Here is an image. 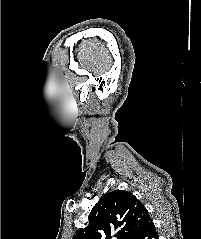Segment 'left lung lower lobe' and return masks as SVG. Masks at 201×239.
<instances>
[{"label": "left lung lower lobe", "mask_w": 201, "mask_h": 239, "mask_svg": "<svg viewBox=\"0 0 201 239\" xmlns=\"http://www.w3.org/2000/svg\"><path fill=\"white\" fill-rule=\"evenodd\" d=\"M132 239H159L152 220L147 222L144 227L133 236Z\"/></svg>", "instance_id": "left-lung-lower-lobe-1"}]
</instances>
